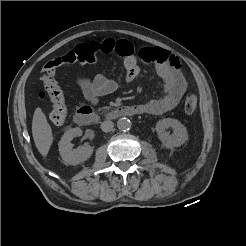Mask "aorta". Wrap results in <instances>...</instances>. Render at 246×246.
I'll return each instance as SVG.
<instances>
[{
  "instance_id": "obj_1",
  "label": "aorta",
  "mask_w": 246,
  "mask_h": 246,
  "mask_svg": "<svg viewBox=\"0 0 246 246\" xmlns=\"http://www.w3.org/2000/svg\"><path fill=\"white\" fill-rule=\"evenodd\" d=\"M117 127L120 131H128L131 128V121L128 118H120Z\"/></svg>"
}]
</instances>
